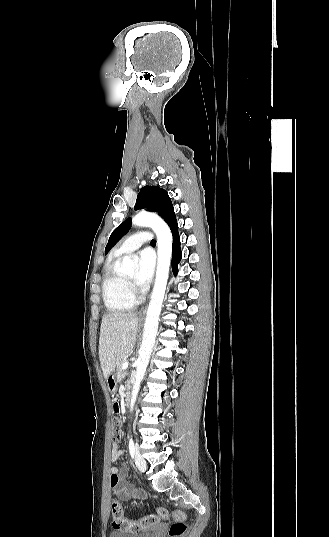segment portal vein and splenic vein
Returning a JSON list of instances; mask_svg holds the SVG:
<instances>
[{
	"label": "portal vein and splenic vein",
	"instance_id": "1",
	"mask_svg": "<svg viewBox=\"0 0 329 537\" xmlns=\"http://www.w3.org/2000/svg\"><path fill=\"white\" fill-rule=\"evenodd\" d=\"M128 365H129L128 362H124V363L122 364V369H124V370L127 369V368H128Z\"/></svg>",
	"mask_w": 329,
	"mask_h": 537
}]
</instances>
